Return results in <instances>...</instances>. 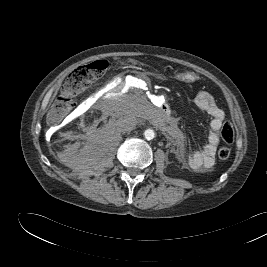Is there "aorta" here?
<instances>
[{
	"label": "aorta",
	"mask_w": 267,
	"mask_h": 267,
	"mask_svg": "<svg viewBox=\"0 0 267 267\" xmlns=\"http://www.w3.org/2000/svg\"><path fill=\"white\" fill-rule=\"evenodd\" d=\"M144 137H145L147 140H152V139L155 137V132H154V130H152V129H147V130H145V132H144Z\"/></svg>",
	"instance_id": "obj_1"
}]
</instances>
